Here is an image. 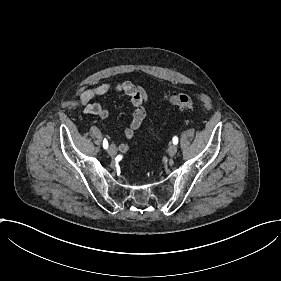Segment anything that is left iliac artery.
<instances>
[{
  "instance_id": "obj_1",
  "label": "left iliac artery",
  "mask_w": 281,
  "mask_h": 281,
  "mask_svg": "<svg viewBox=\"0 0 281 281\" xmlns=\"http://www.w3.org/2000/svg\"><path fill=\"white\" fill-rule=\"evenodd\" d=\"M178 143V138L175 136V137H173V144H177Z\"/></svg>"
}]
</instances>
